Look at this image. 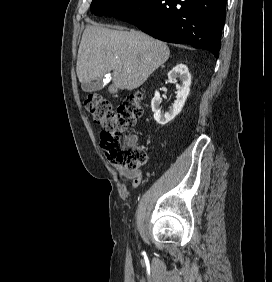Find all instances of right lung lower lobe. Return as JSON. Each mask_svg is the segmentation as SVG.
I'll use <instances>...</instances> for the list:
<instances>
[{"mask_svg":"<svg viewBox=\"0 0 272 282\" xmlns=\"http://www.w3.org/2000/svg\"><path fill=\"white\" fill-rule=\"evenodd\" d=\"M227 0H138L111 16L170 43H187L219 56Z\"/></svg>","mask_w":272,"mask_h":282,"instance_id":"obj_1","label":"right lung lower lobe"}]
</instances>
